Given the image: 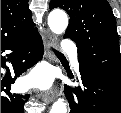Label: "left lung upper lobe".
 I'll use <instances>...</instances> for the list:
<instances>
[{
  "label": "left lung upper lobe",
  "instance_id": "1",
  "mask_svg": "<svg viewBox=\"0 0 121 113\" xmlns=\"http://www.w3.org/2000/svg\"><path fill=\"white\" fill-rule=\"evenodd\" d=\"M70 16L64 35L78 47L79 64L93 68L121 87V58L116 21L107 0H51L50 9Z\"/></svg>",
  "mask_w": 121,
  "mask_h": 113
}]
</instances>
